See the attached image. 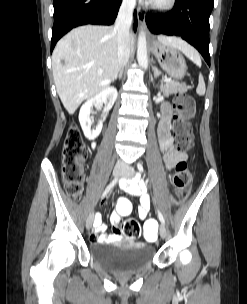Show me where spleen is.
Masks as SVG:
<instances>
[{"label":"spleen","mask_w":247,"mask_h":304,"mask_svg":"<svg viewBox=\"0 0 247 304\" xmlns=\"http://www.w3.org/2000/svg\"><path fill=\"white\" fill-rule=\"evenodd\" d=\"M187 57H189L196 65H198V66L201 65V59H200L198 53L191 54L190 56H187ZM205 91H206L205 81H204L203 75L200 73L198 87L196 89V92L198 95L203 96L205 94Z\"/></svg>","instance_id":"obj_1"}]
</instances>
